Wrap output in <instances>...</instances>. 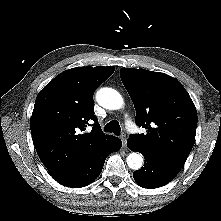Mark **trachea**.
<instances>
[{
    "mask_svg": "<svg viewBox=\"0 0 221 221\" xmlns=\"http://www.w3.org/2000/svg\"><path fill=\"white\" fill-rule=\"evenodd\" d=\"M104 130L106 132L114 133L115 135H119L121 132L120 125L116 120H112L109 123H107Z\"/></svg>",
    "mask_w": 221,
    "mask_h": 221,
    "instance_id": "obj_1",
    "label": "trachea"
}]
</instances>
